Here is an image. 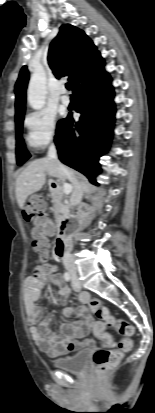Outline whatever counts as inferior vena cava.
<instances>
[{
  "mask_svg": "<svg viewBox=\"0 0 155 413\" xmlns=\"http://www.w3.org/2000/svg\"><path fill=\"white\" fill-rule=\"evenodd\" d=\"M47 157L55 166H57L59 172L73 184V192L70 199L71 206L74 207L80 205L82 198V187L73 177L72 172L58 160L57 149L54 143L49 146ZM63 264L70 273L76 274L77 269L74 259L69 251L64 253Z\"/></svg>",
  "mask_w": 155,
  "mask_h": 413,
  "instance_id": "inferior-vena-cava-1",
  "label": "inferior vena cava"
}]
</instances>
